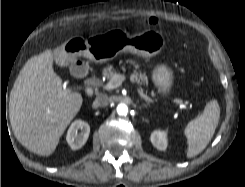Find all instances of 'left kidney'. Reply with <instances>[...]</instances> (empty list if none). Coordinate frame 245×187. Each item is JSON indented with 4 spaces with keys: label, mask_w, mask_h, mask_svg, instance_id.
<instances>
[{
    "label": "left kidney",
    "mask_w": 245,
    "mask_h": 187,
    "mask_svg": "<svg viewBox=\"0 0 245 187\" xmlns=\"http://www.w3.org/2000/svg\"><path fill=\"white\" fill-rule=\"evenodd\" d=\"M150 140L154 147L164 151L167 148V131L156 130L152 132Z\"/></svg>",
    "instance_id": "obj_1"
}]
</instances>
